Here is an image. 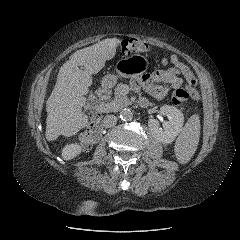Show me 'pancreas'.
Segmentation results:
<instances>
[{
	"mask_svg": "<svg viewBox=\"0 0 240 240\" xmlns=\"http://www.w3.org/2000/svg\"><path fill=\"white\" fill-rule=\"evenodd\" d=\"M108 108L119 109L130 104V101L126 94L122 92V84H118L114 89V97L108 103Z\"/></svg>",
	"mask_w": 240,
	"mask_h": 240,
	"instance_id": "pancreas-1",
	"label": "pancreas"
}]
</instances>
